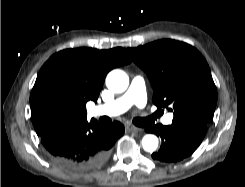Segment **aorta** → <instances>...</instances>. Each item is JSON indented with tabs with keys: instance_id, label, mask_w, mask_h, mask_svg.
I'll list each match as a JSON object with an SVG mask.
<instances>
[{
	"instance_id": "762f6f07",
	"label": "aorta",
	"mask_w": 245,
	"mask_h": 187,
	"mask_svg": "<svg viewBox=\"0 0 245 187\" xmlns=\"http://www.w3.org/2000/svg\"><path fill=\"white\" fill-rule=\"evenodd\" d=\"M107 87L114 93L124 92L129 85L127 74L119 69L111 71L106 77ZM143 149L147 152H154L158 147V138L155 135L147 134L142 139Z\"/></svg>"
}]
</instances>
